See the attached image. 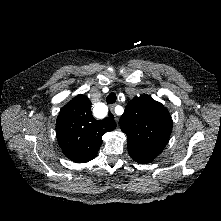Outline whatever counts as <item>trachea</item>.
I'll list each match as a JSON object with an SVG mask.
<instances>
[{
	"label": "trachea",
	"instance_id": "obj_1",
	"mask_svg": "<svg viewBox=\"0 0 221 221\" xmlns=\"http://www.w3.org/2000/svg\"><path fill=\"white\" fill-rule=\"evenodd\" d=\"M116 100H117V96H116V93L114 92L109 93V95L106 98L107 104H114Z\"/></svg>",
	"mask_w": 221,
	"mask_h": 221
}]
</instances>
